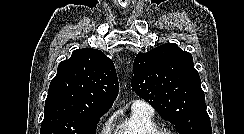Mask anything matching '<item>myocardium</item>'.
Listing matches in <instances>:
<instances>
[{
  "label": "myocardium",
  "instance_id": "obj_1",
  "mask_svg": "<svg viewBox=\"0 0 244 134\" xmlns=\"http://www.w3.org/2000/svg\"><path fill=\"white\" fill-rule=\"evenodd\" d=\"M151 134H177L167 127H157Z\"/></svg>",
  "mask_w": 244,
  "mask_h": 134
}]
</instances>
